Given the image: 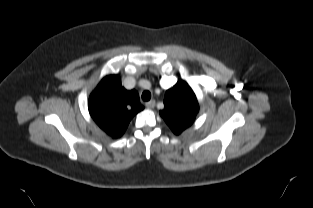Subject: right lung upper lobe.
<instances>
[{"label": "right lung upper lobe", "instance_id": "obj_1", "mask_svg": "<svg viewBox=\"0 0 313 208\" xmlns=\"http://www.w3.org/2000/svg\"><path fill=\"white\" fill-rule=\"evenodd\" d=\"M88 109L96 124L112 138L121 137L130 120L144 107L135 90L128 91L117 75H108L91 93Z\"/></svg>", "mask_w": 313, "mask_h": 208}]
</instances>
